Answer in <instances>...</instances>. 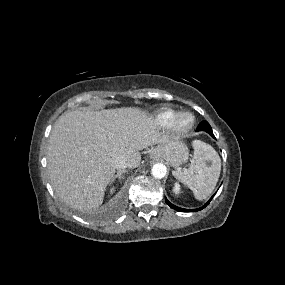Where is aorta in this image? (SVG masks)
<instances>
[{
  "instance_id": "aorta-1",
  "label": "aorta",
  "mask_w": 285,
  "mask_h": 285,
  "mask_svg": "<svg viewBox=\"0 0 285 285\" xmlns=\"http://www.w3.org/2000/svg\"><path fill=\"white\" fill-rule=\"evenodd\" d=\"M167 173V168L164 164L162 163H156L153 165L151 169V174L154 178L161 179L165 177Z\"/></svg>"
}]
</instances>
